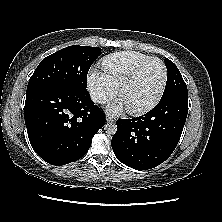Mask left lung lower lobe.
<instances>
[{"mask_svg": "<svg viewBox=\"0 0 222 222\" xmlns=\"http://www.w3.org/2000/svg\"><path fill=\"white\" fill-rule=\"evenodd\" d=\"M187 95H171L148 113L118 119L111 145L116 157L135 169H151L163 163L177 146L188 113Z\"/></svg>", "mask_w": 222, "mask_h": 222, "instance_id": "1", "label": "left lung lower lobe"}]
</instances>
